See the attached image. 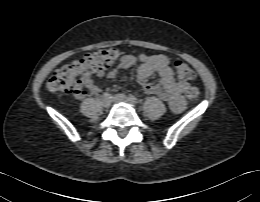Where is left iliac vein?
I'll list each match as a JSON object with an SVG mask.
<instances>
[{"instance_id":"obj_1","label":"left iliac vein","mask_w":260,"mask_h":202,"mask_svg":"<svg viewBox=\"0 0 260 202\" xmlns=\"http://www.w3.org/2000/svg\"><path fill=\"white\" fill-rule=\"evenodd\" d=\"M112 101L115 103H120V102L131 103L130 99L124 94H116L115 96H113Z\"/></svg>"}]
</instances>
